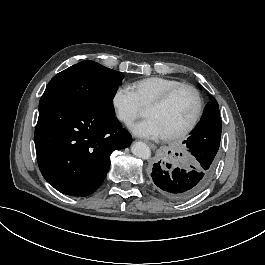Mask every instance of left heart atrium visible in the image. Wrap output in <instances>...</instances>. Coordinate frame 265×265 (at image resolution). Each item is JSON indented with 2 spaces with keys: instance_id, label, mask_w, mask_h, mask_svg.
I'll use <instances>...</instances> for the list:
<instances>
[{
  "instance_id": "39dd6f15",
  "label": "left heart atrium",
  "mask_w": 265,
  "mask_h": 265,
  "mask_svg": "<svg viewBox=\"0 0 265 265\" xmlns=\"http://www.w3.org/2000/svg\"><path fill=\"white\" fill-rule=\"evenodd\" d=\"M131 131L136 136L147 139H161L165 137L164 131L153 118L136 122L131 126Z\"/></svg>"
}]
</instances>
